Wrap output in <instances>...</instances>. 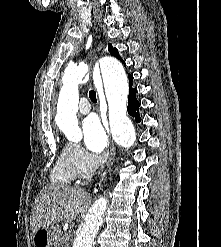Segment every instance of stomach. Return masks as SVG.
I'll use <instances>...</instances> for the list:
<instances>
[{"label": "stomach", "instance_id": "0dacf381", "mask_svg": "<svg viewBox=\"0 0 221 247\" xmlns=\"http://www.w3.org/2000/svg\"><path fill=\"white\" fill-rule=\"evenodd\" d=\"M53 243V231L50 228L38 229L32 237L34 247H51Z\"/></svg>", "mask_w": 221, "mask_h": 247}]
</instances>
